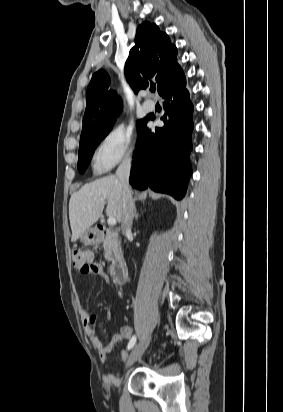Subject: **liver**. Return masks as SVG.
<instances>
[{"label":"liver","instance_id":"1","mask_svg":"<svg viewBox=\"0 0 283 412\" xmlns=\"http://www.w3.org/2000/svg\"><path fill=\"white\" fill-rule=\"evenodd\" d=\"M121 202L122 186L114 175L85 184L79 191L73 193L69 201L71 241L75 242L98 221L105 203H107L106 215L121 222Z\"/></svg>","mask_w":283,"mask_h":412}]
</instances>
